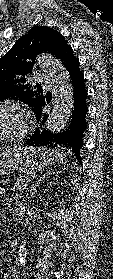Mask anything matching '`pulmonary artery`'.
Segmentation results:
<instances>
[{
	"label": "pulmonary artery",
	"mask_w": 113,
	"mask_h": 279,
	"mask_svg": "<svg viewBox=\"0 0 113 279\" xmlns=\"http://www.w3.org/2000/svg\"><path fill=\"white\" fill-rule=\"evenodd\" d=\"M39 81H40L43 85H45V86H48V85H49V79L46 78V77H41V78L39 79Z\"/></svg>",
	"instance_id": "pulmonary-artery-1"
}]
</instances>
